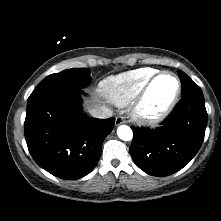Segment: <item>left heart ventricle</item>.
<instances>
[{"instance_id":"b2bd125f","label":"left heart ventricle","mask_w":221,"mask_h":221,"mask_svg":"<svg viewBox=\"0 0 221 221\" xmlns=\"http://www.w3.org/2000/svg\"><path fill=\"white\" fill-rule=\"evenodd\" d=\"M176 91V81L168 75L161 76L153 84L146 103L149 111H158L173 97Z\"/></svg>"}]
</instances>
